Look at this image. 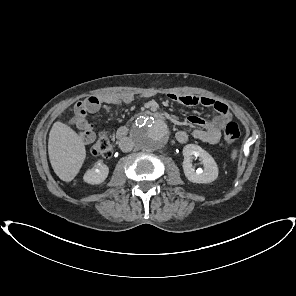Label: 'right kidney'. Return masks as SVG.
Returning <instances> with one entry per match:
<instances>
[{
	"mask_svg": "<svg viewBox=\"0 0 296 296\" xmlns=\"http://www.w3.org/2000/svg\"><path fill=\"white\" fill-rule=\"evenodd\" d=\"M109 168L102 162H98L91 169H88L83 176V180L88 184H101L107 178Z\"/></svg>",
	"mask_w": 296,
	"mask_h": 296,
	"instance_id": "ca27d5eb",
	"label": "right kidney"
}]
</instances>
